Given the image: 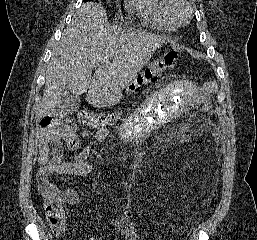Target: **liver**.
I'll return each mask as SVG.
<instances>
[{
    "mask_svg": "<svg viewBox=\"0 0 257 240\" xmlns=\"http://www.w3.org/2000/svg\"><path fill=\"white\" fill-rule=\"evenodd\" d=\"M165 39L148 32H125L106 22L96 2L83 4L53 49L39 115L55 113L67 85L75 96L85 92L93 107L115 105ZM97 67L92 77V70Z\"/></svg>",
    "mask_w": 257,
    "mask_h": 240,
    "instance_id": "obj_1",
    "label": "liver"
}]
</instances>
